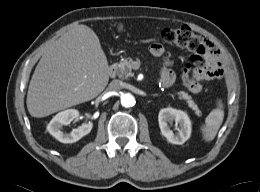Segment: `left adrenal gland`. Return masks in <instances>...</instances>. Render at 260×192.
Here are the masks:
<instances>
[{"label": "left adrenal gland", "mask_w": 260, "mask_h": 192, "mask_svg": "<svg viewBox=\"0 0 260 192\" xmlns=\"http://www.w3.org/2000/svg\"><path fill=\"white\" fill-rule=\"evenodd\" d=\"M153 96H154V97H158V96H160V95H158V94H153Z\"/></svg>", "instance_id": "a2214340"}]
</instances>
